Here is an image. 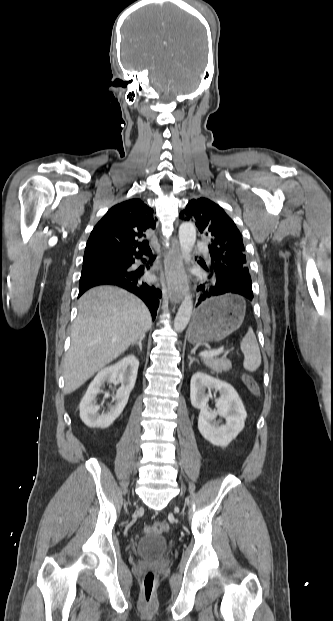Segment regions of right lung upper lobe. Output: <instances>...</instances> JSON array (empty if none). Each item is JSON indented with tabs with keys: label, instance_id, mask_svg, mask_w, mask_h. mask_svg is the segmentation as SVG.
I'll return each instance as SVG.
<instances>
[{
	"label": "right lung upper lobe",
	"instance_id": "right-lung-upper-lobe-1",
	"mask_svg": "<svg viewBox=\"0 0 333 621\" xmlns=\"http://www.w3.org/2000/svg\"><path fill=\"white\" fill-rule=\"evenodd\" d=\"M155 219L153 210L138 198L113 206L93 228L83 259L150 252L147 241L139 239L147 230L155 228Z\"/></svg>",
	"mask_w": 333,
	"mask_h": 621
}]
</instances>
